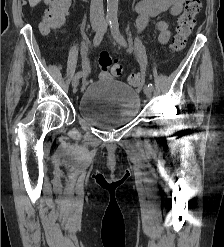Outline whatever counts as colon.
<instances>
[{"mask_svg":"<svg viewBox=\"0 0 224 247\" xmlns=\"http://www.w3.org/2000/svg\"><path fill=\"white\" fill-rule=\"evenodd\" d=\"M47 9L43 15L41 29L44 32L59 27L71 6V0H46ZM201 10V0H185L184 11L180 15L177 23L176 34L172 42L174 52L181 51L191 34L195 23L196 16ZM98 63L103 72L111 73L113 76H120L123 66L120 63H113L110 54L102 51L99 55ZM129 83L138 86L141 82L137 74H131L128 78Z\"/></svg>","mask_w":224,"mask_h":247,"instance_id":"5ec220e1","label":"colon"}]
</instances>
